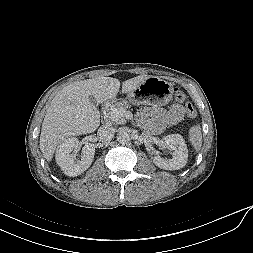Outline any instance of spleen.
Instances as JSON below:
<instances>
[{"label": "spleen", "mask_w": 253, "mask_h": 253, "mask_svg": "<svg viewBox=\"0 0 253 253\" xmlns=\"http://www.w3.org/2000/svg\"><path fill=\"white\" fill-rule=\"evenodd\" d=\"M189 141L196 151L202 146V132L200 124H196L189 129Z\"/></svg>", "instance_id": "spleen-1"}]
</instances>
